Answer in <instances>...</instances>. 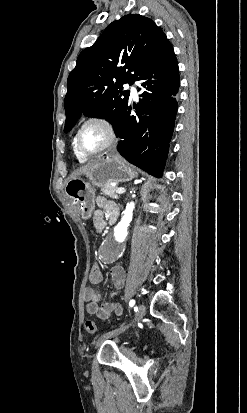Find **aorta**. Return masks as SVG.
I'll list each match as a JSON object with an SVG mask.
<instances>
[{
	"mask_svg": "<svg viewBox=\"0 0 247 413\" xmlns=\"http://www.w3.org/2000/svg\"><path fill=\"white\" fill-rule=\"evenodd\" d=\"M135 208L134 202L127 203L125 210L123 211V215L121 221L115 228V235L118 237L119 240H124L127 235V228L129 223L132 220L133 210Z\"/></svg>",
	"mask_w": 247,
	"mask_h": 413,
	"instance_id": "762f6f07",
	"label": "aorta"
}]
</instances>
